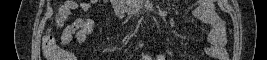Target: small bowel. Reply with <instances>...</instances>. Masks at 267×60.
I'll list each match as a JSON object with an SVG mask.
<instances>
[{"mask_svg":"<svg viewBox=\"0 0 267 60\" xmlns=\"http://www.w3.org/2000/svg\"><path fill=\"white\" fill-rule=\"evenodd\" d=\"M95 0L84 1L81 4L75 2H67L61 8L60 19L56 24H61L66 18V15L74 10H89L94 4ZM215 1L213 0H201L198 2L197 8L193 12V16L204 22L209 26L207 30L208 45L204 48V52L207 56L217 60H227L228 55L225 50L226 37H225V22L215 12ZM93 20L89 18H77L72 24L66 26L61 35V41L64 45L69 44L73 38L78 44H85L89 35L93 31ZM141 60H167V58L160 54L152 56L145 54L141 57Z\"/></svg>","mask_w":267,"mask_h":60,"instance_id":"small-bowel-1","label":"small bowel"}]
</instances>
